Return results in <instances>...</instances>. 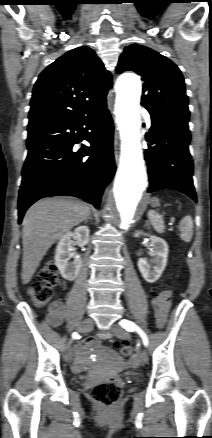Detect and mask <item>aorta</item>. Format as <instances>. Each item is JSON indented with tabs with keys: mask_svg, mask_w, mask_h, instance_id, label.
<instances>
[{
	"mask_svg": "<svg viewBox=\"0 0 212 438\" xmlns=\"http://www.w3.org/2000/svg\"><path fill=\"white\" fill-rule=\"evenodd\" d=\"M115 114L122 151L114 183V212L123 228L135 219L138 203L146 187L147 175L140 143L141 81L134 74L122 75L116 85Z\"/></svg>",
	"mask_w": 212,
	"mask_h": 438,
	"instance_id": "obj_1",
	"label": "aorta"
}]
</instances>
